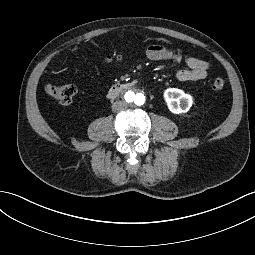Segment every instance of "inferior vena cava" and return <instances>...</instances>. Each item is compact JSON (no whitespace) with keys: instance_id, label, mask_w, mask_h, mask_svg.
<instances>
[{"instance_id":"inferior-vena-cava-1","label":"inferior vena cava","mask_w":255,"mask_h":255,"mask_svg":"<svg viewBox=\"0 0 255 255\" xmlns=\"http://www.w3.org/2000/svg\"><path fill=\"white\" fill-rule=\"evenodd\" d=\"M127 107H128L127 102H125V101H116L112 105V111L113 112H122V111L126 110Z\"/></svg>"}]
</instances>
